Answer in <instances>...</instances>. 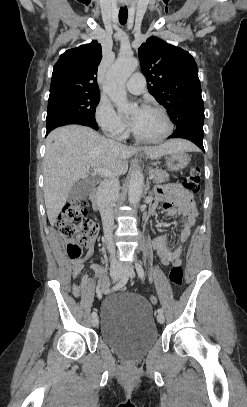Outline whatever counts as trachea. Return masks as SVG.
<instances>
[{"label": "trachea", "mask_w": 247, "mask_h": 407, "mask_svg": "<svg viewBox=\"0 0 247 407\" xmlns=\"http://www.w3.org/2000/svg\"><path fill=\"white\" fill-rule=\"evenodd\" d=\"M128 17L127 7H121L119 10V22L121 25L126 24Z\"/></svg>", "instance_id": "1"}]
</instances>
